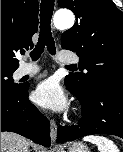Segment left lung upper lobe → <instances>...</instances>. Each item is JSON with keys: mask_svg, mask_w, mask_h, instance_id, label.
I'll list each match as a JSON object with an SVG mask.
<instances>
[{"mask_svg": "<svg viewBox=\"0 0 123 152\" xmlns=\"http://www.w3.org/2000/svg\"><path fill=\"white\" fill-rule=\"evenodd\" d=\"M76 15L62 35V48L80 56L82 73L65 77L76 94L86 96L106 83L123 84V12L111 0H58Z\"/></svg>", "mask_w": 123, "mask_h": 152, "instance_id": "obj_1", "label": "left lung upper lobe"}]
</instances>
